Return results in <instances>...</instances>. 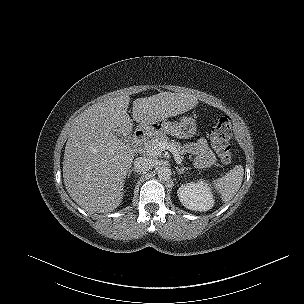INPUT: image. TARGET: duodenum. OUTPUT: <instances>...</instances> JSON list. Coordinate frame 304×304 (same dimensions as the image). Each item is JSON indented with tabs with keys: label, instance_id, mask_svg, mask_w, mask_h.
I'll return each instance as SVG.
<instances>
[{
	"label": "duodenum",
	"instance_id": "410a0bca",
	"mask_svg": "<svg viewBox=\"0 0 304 304\" xmlns=\"http://www.w3.org/2000/svg\"><path fill=\"white\" fill-rule=\"evenodd\" d=\"M146 138V133L144 131L138 130L133 135V142L136 145H140Z\"/></svg>",
	"mask_w": 304,
	"mask_h": 304
}]
</instances>
